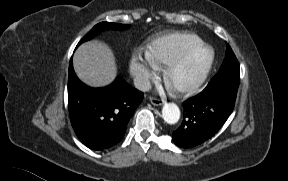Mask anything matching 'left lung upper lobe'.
Masks as SVG:
<instances>
[{"instance_id":"left-lung-upper-lobe-1","label":"left lung upper lobe","mask_w":288,"mask_h":181,"mask_svg":"<svg viewBox=\"0 0 288 181\" xmlns=\"http://www.w3.org/2000/svg\"><path fill=\"white\" fill-rule=\"evenodd\" d=\"M240 82V70L238 61L227 45L225 59L218 73L208 83L205 90H220L230 94H237Z\"/></svg>"}]
</instances>
